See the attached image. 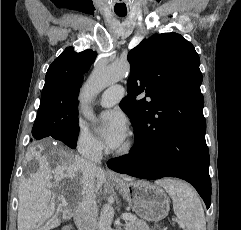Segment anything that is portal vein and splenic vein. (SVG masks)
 I'll use <instances>...</instances> for the list:
<instances>
[{
  "label": "portal vein and splenic vein",
  "mask_w": 241,
  "mask_h": 230,
  "mask_svg": "<svg viewBox=\"0 0 241 230\" xmlns=\"http://www.w3.org/2000/svg\"><path fill=\"white\" fill-rule=\"evenodd\" d=\"M122 219H123V220H135L136 217H135L134 215H132V214L124 213V214L122 215Z\"/></svg>",
  "instance_id": "portal-vein-and-splenic-vein-1"
}]
</instances>
